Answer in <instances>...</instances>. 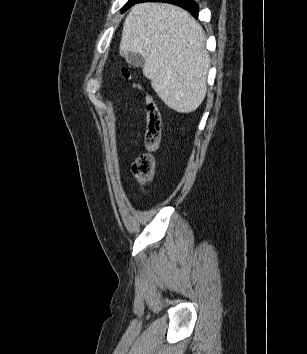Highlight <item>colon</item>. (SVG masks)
Segmentation results:
<instances>
[{"label": "colon", "mask_w": 307, "mask_h": 354, "mask_svg": "<svg viewBox=\"0 0 307 354\" xmlns=\"http://www.w3.org/2000/svg\"><path fill=\"white\" fill-rule=\"evenodd\" d=\"M121 75L130 79V71L121 69ZM147 127L145 132L146 153L139 155L133 162L132 171L140 182L150 181L155 173L154 152L158 150L162 140L163 119L162 113L153 97H146Z\"/></svg>", "instance_id": "5ec220e1"}]
</instances>
